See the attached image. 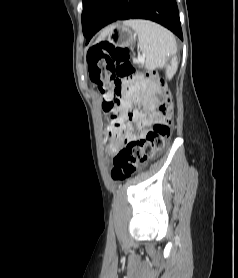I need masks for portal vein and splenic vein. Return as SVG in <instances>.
Instances as JSON below:
<instances>
[{"label": "portal vein and splenic vein", "instance_id": "1", "mask_svg": "<svg viewBox=\"0 0 238 278\" xmlns=\"http://www.w3.org/2000/svg\"><path fill=\"white\" fill-rule=\"evenodd\" d=\"M138 61L141 62V63L144 62V57L140 56V57L138 58Z\"/></svg>", "mask_w": 238, "mask_h": 278}]
</instances>
